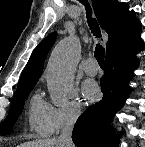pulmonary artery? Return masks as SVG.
<instances>
[{
	"instance_id": "pulmonary-artery-1",
	"label": "pulmonary artery",
	"mask_w": 145,
	"mask_h": 147,
	"mask_svg": "<svg viewBox=\"0 0 145 147\" xmlns=\"http://www.w3.org/2000/svg\"><path fill=\"white\" fill-rule=\"evenodd\" d=\"M83 70L87 75L94 76L98 73V66L93 58L88 59L84 65Z\"/></svg>"
}]
</instances>
